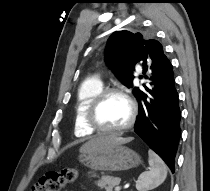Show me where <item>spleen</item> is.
Here are the masks:
<instances>
[{
  "instance_id": "spleen-1",
  "label": "spleen",
  "mask_w": 210,
  "mask_h": 191,
  "mask_svg": "<svg viewBox=\"0 0 210 191\" xmlns=\"http://www.w3.org/2000/svg\"><path fill=\"white\" fill-rule=\"evenodd\" d=\"M150 170L140 174L136 181L138 191H148L156 188L167 177V167L163 160L152 150L148 151Z\"/></svg>"
}]
</instances>
